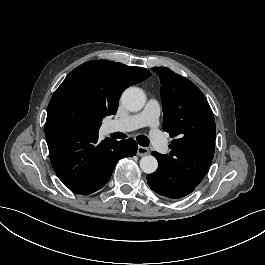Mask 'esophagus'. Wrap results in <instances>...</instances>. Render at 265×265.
<instances>
[{
    "instance_id": "esophagus-1",
    "label": "esophagus",
    "mask_w": 265,
    "mask_h": 265,
    "mask_svg": "<svg viewBox=\"0 0 265 265\" xmlns=\"http://www.w3.org/2000/svg\"><path fill=\"white\" fill-rule=\"evenodd\" d=\"M149 153V149L147 147L138 146L137 147V155L138 156H145Z\"/></svg>"
}]
</instances>
